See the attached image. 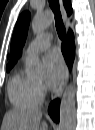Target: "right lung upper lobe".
Returning a JSON list of instances; mask_svg holds the SVG:
<instances>
[{
	"instance_id": "right-lung-upper-lobe-1",
	"label": "right lung upper lobe",
	"mask_w": 95,
	"mask_h": 130,
	"mask_svg": "<svg viewBox=\"0 0 95 130\" xmlns=\"http://www.w3.org/2000/svg\"><path fill=\"white\" fill-rule=\"evenodd\" d=\"M64 6L68 12V15L71 14L72 8H71V1L70 0H64Z\"/></svg>"
}]
</instances>
